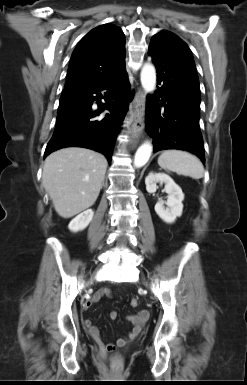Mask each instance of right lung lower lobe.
<instances>
[{
    "label": "right lung lower lobe",
    "mask_w": 247,
    "mask_h": 385,
    "mask_svg": "<svg viewBox=\"0 0 247 385\" xmlns=\"http://www.w3.org/2000/svg\"><path fill=\"white\" fill-rule=\"evenodd\" d=\"M129 90L130 84L124 67L109 80L60 104L54 134L47 144L44 157L64 147H84L104 154L110 163L120 121L128 110ZM101 91H105V96H102ZM101 98L106 101L105 104L101 102ZM95 100L99 109H108L111 113L96 120L100 111L92 109Z\"/></svg>",
    "instance_id": "98d812e1"
}]
</instances>
